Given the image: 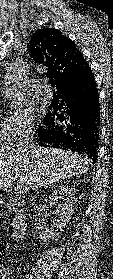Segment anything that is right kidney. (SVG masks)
Here are the masks:
<instances>
[{
  "label": "right kidney",
  "instance_id": "right-kidney-1",
  "mask_svg": "<svg viewBox=\"0 0 113 279\" xmlns=\"http://www.w3.org/2000/svg\"><path fill=\"white\" fill-rule=\"evenodd\" d=\"M58 200H62V203L57 206L53 227L47 228L40 223L36 226L35 233L42 244L59 236L70 220L75 200V189L72 186H64L53 191L48 199L50 206L56 205Z\"/></svg>",
  "mask_w": 113,
  "mask_h": 279
}]
</instances>
